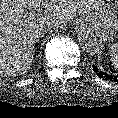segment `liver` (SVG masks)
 <instances>
[{"label": "liver", "instance_id": "liver-1", "mask_svg": "<svg viewBox=\"0 0 118 118\" xmlns=\"http://www.w3.org/2000/svg\"><path fill=\"white\" fill-rule=\"evenodd\" d=\"M99 6L100 0H0V74L27 73L34 44L42 36L40 21L49 19L65 26L77 16L91 20Z\"/></svg>", "mask_w": 118, "mask_h": 118}]
</instances>
